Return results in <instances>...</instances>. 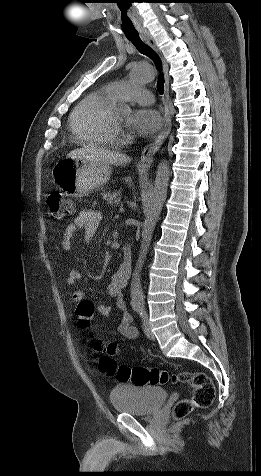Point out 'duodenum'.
I'll list each match as a JSON object with an SVG mask.
<instances>
[{"label":"duodenum","instance_id":"duodenum-1","mask_svg":"<svg viewBox=\"0 0 261 476\" xmlns=\"http://www.w3.org/2000/svg\"><path fill=\"white\" fill-rule=\"evenodd\" d=\"M132 261H133V252L129 245H125L123 247V263L122 268L130 274L132 268Z\"/></svg>","mask_w":261,"mask_h":476}]
</instances>
